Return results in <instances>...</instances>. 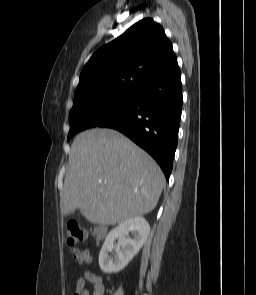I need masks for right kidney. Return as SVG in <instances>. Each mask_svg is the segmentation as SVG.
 Masks as SVG:
<instances>
[{
  "mask_svg": "<svg viewBox=\"0 0 256 295\" xmlns=\"http://www.w3.org/2000/svg\"><path fill=\"white\" fill-rule=\"evenodd\" d=\"M132 233L133 238L126 236ZM150 233V226L143 217H134L121 222L106 236L99 254V266L104 273H118L127 266L139 252ZM119 243L114 247V241ZM115 250L114 256L109 253Z\"/></svg>",
  "mask_w": 256,
  "mask_h": 295,
  "instance_id": "right-kidney-1",
  "label": "right kidney"
}]
</instances>
